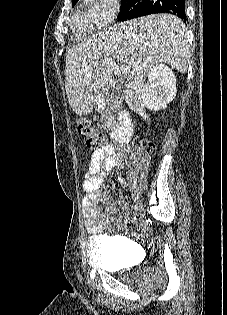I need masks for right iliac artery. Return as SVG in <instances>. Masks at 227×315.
I'll return each instance as SVG.
<instances>
[{"label":"right iliac artery","mask_w":227,"mask_h":315,"mask_svg":"<svg viewBox=\"0 0 227 315\" xmlns=\"http://www.w3.org/2000/svg\"><path fill=\"white\" fill-rule=\"evenodd\" d=\"M132 198H133L134 202H137L139 199L138 195H136V194H133Z\"/></svg>","instance_id":"82829eb1"}]
</instances>
